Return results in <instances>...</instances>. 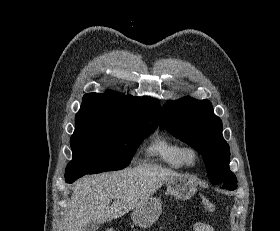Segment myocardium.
Listing matches in <instances>:
<instances>
[{
  "label": "myocardium",
  "mask_w": 280,
  "mask_h": 231,
  "mask_svg": "<svg viewBox=\"0 0 280 231\" xmlns=\"http://www.w3.org/2000/svg\"><path fill=\"white\" fill-rule=\"evenodd\" d=\"M190 152H192L196 157V163L194 165H190L187 161V154ZM180 158L184 167L188 169H194L199 165L201 161V153L200 150L194 145H183V147L181 148Z\"/></svg>",
  "instance_id": "obj_1"
}]
</instances>
